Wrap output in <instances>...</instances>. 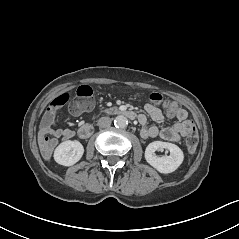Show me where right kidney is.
<instances>
[{"label":"right kidney","mask_w":239,"mask_h":239,"mask_svg":"<svg viewBox=\"0 0 239 239\" xmlns=\"http://www.w3.org/2000/svg\"><path fill=\"white\" fill-rule=\"evenodd\" d=\"M84 153L82 144L77 141L64 142L55 151V158L63 165L78 162Z\"/></svg>","instance_id":"1"}]
</instances>
